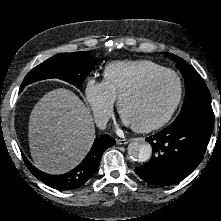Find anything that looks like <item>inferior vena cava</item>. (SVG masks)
<instances>
[{"label": "inferior vena cava", "instance_id": "obj_1", "mask_svg": "<svg viewBox=\"0 0 221 221\" xmlns=\"http://www.w3.org/2000/svg\"><path fill=\"white\" fill-rule=\"evenodd\" d=\"M108 118L103 117L96 120V124L100 129H105L107 126Z\"/></svg>", "mask_w": 221, "mask_h": 221}]
</instances>
